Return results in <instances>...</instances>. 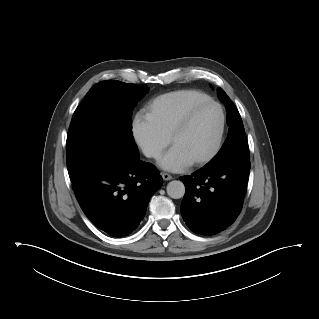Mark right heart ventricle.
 <instances>
[{
  "instance_id": "1",
  "label": "right heart ventricle",
  "mask_w": 319,
  "mask_h": 319,
  "mask_svg": "<svg viewBox=\"0 0 319 319\" xmlns=\"http://www.w3.org/2000/svg\"><path fill=\"white\" fill-rule=\"evenodd\" d=\"M211 97L196 89L166 93L154 98L146 107V115L154 125L169 137L174 127L195 104Z\"/></svg>"
}]
</instances>
